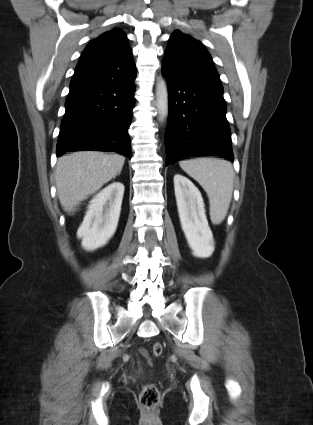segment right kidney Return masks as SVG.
Masks as SVG:
<instances>
[{
  "label": "right kidney",
  "instance_id": "1",
  "mask_svg": "<svg viewBox=\"0 0 313 425\" xmlns=\"http://www.w3.org/2000/svg\"><path fill=\"white\" fill-rule=\"evenodd\" d=\"M124 185L113 182L101 190L90 201L88 210L77 237L82 239V247L87 251L100 248L114 235L121 211Z\"/></svg>",
  "mask_w": 313,
  "mask_h": 425
}]
</instances>
